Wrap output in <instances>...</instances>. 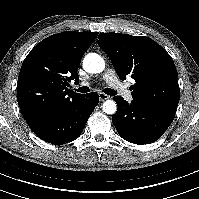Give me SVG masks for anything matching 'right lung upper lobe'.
Segmentation results:
<instances>
[{
  "label": "right lung upper lobe",
  "instance_id": "cb5924a9",
  "mask_svg": "<svg viewBox=\"0 0 199 199\" xmlns=\"http://www.w3.org/2000/svg\"><path fill=\"white\" fill-rule=\"evenodd\" d=\"M97 32H62L38 43L25 58L17 83V101L27 122L66 106L82 94L68 90L79 82L82 56Z\"/></svg>",
  "mask_w": 199,
  "mask_h": 199
}]
</instances>
